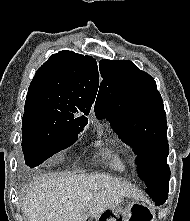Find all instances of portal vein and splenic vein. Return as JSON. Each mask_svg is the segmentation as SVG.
I'll return each instance as SVG.
<instances>
[{
  "instance_id": "18ae733b",
  "label": "portal vein and splenic vein",
  "mask_w": 190,
  "mask_h": 221,
  "mask_svg": "<svg viewBox=\"0 0 190 221\" xmlns=\"http://www.w3.org/2000/svg\"><path fill=\"white\" fill-rule=\"evenodd\" d=\"M91 197H92V194H88V195L86 196V199H87V200H90Z\"/></svg>"
}]
</instances>
